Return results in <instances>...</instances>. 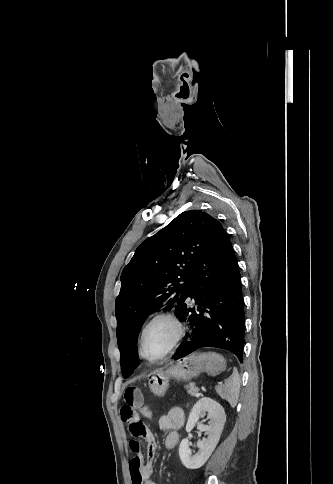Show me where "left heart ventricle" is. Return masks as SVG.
<instances>
[{"instance_id": "b2bd125f", "label": "left heart ventricle", "mask_w": 333, "mask_h": 484, "mask_svg": "<svg viewBox=\"0 0 333 484\" xmlns=\"http://www.w3.org/2000/svg\"><path fill=\"white\" fill-rule=\"evenodd\" d=\"M175 335L174 326L168 321L154 323L146 332L144 352L150 357L159 356Z\"/></svg>"}]
</instances>
